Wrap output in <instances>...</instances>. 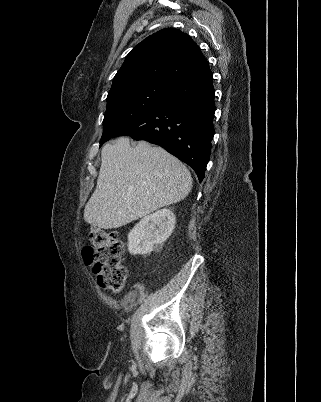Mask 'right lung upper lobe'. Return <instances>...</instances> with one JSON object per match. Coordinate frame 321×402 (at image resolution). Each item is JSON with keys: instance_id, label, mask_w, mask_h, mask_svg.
<instances>
[{"instance_id": "obj_1", "label": "right lung upper lobe", "mask_w": 321, "mask_h": 402, "mask_svg": "<svg viewBox=\"0 0 321 402\" xmlns=\"http://www.w3.org/2000/svg\"><path fill=\"white\" fill-rule=\"evenodd\" d=\"M207 66L199 47L187 34L166 28L131 50L115 75L108 95L149 83L171 86Z\"/></svg>"}]
</instances>
